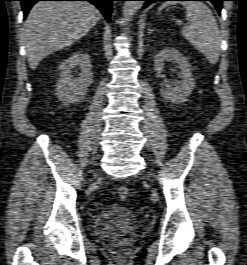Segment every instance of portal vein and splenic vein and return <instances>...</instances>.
<instances>
[{
    "mask_svg": "<svg viewBox=\"0 0 247 265\" xmlns=\"http://www.w3.org/2000/svg\"><path fill=\"white\" fill-rule=\"evenodd\" d=\"M177 24H178V25H181V24H182V22H181V21H178V22H177Z\"/></svg>",
    "mask_w": 247,
    "mask_h": 265,
    "instance_id": "portal-vein-and-splenic-vein-1",
    "label": "portal vein and splenic vein"
}]
</instances>
